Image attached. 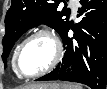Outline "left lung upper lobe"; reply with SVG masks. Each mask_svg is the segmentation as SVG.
Masks as SVG:
<instances>
[{"mask_svg":"<svg viewBox=\"0 0 107 89\" xmlns=\"http://www.w3.org/2000/svg\"><path fill=\"white\" fill-rule=\"evenodd\" d=\"M61 0H12L5 17L6 34L3 38L2 59H6L14 43L28 29L46 24L60 35L68 25L67 11L58 12ZM66 16V18H64Z\"/></svg>","mask_w":107,"mask_h":89,"instance_id":"1","label":"left lung upper lobe"}]
</instances>
